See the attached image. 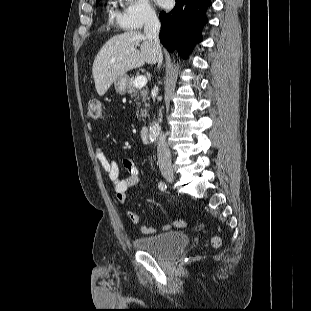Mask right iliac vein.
Wrapping results in <instances>:
<instances>
[{"instance_id": "right-iliac-vein-1", "label": "right iliac vein", "mask_w": 311, "mask_h": 311, "mask_svg": "<svg viewBox=\"0 0 311 311\" xmlns=\"http://www.w3.org/2000/svg\"><path fill=\"white\" fill-rule=\"evenodd\" d=\"M161 173L164 176V178L169 182L173 183L175 180L174 172L171 167H164L161 169Z\"/></svg>"}]
</instances>
